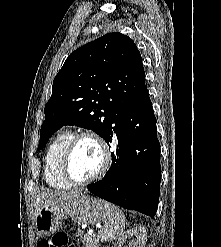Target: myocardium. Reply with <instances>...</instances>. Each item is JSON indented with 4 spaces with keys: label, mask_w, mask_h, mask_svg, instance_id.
Listing matches in <instances>:
<instances>
[{
    "label": "myocardium",
    "mask_w": 221,
    "mask_h": 247,
    "mask_svg": "<svg viewBox=\"0 0 221 247\" xmlns=\"http://www.w3.org/2000/svg\"><path fill=\"white\" fill-rule=\"evenodd\" d=\"M90 139L94 141L101 152L102 164L100 169L91 177L85 180H77L73 177L70 169L72 154L81 140ZM112 161L111 150L107 142L98 133L86 130L75 134L69 142L62 159V174L64 178L73 185L84 186L101 179L109 170Z\"/></svg>",
    "instance_id": "1"
}]
</instances>
